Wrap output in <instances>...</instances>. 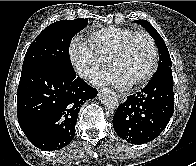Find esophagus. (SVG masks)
<instances>
[{"label":"esophagus","mask_w":196,"mask_h":166,"mask_svg":"<svg viewBox=\"0 0 196 166\" xmlns=\"http://www.w3.org/2000/svg\"><path fill=\"white\" fill-rule=\"evenodd\" d=\"M118 98L121 103H124L127 99L126 95L124 94H118Z\"/></svg>","instance_id":"obj_1"}]
</instances>
